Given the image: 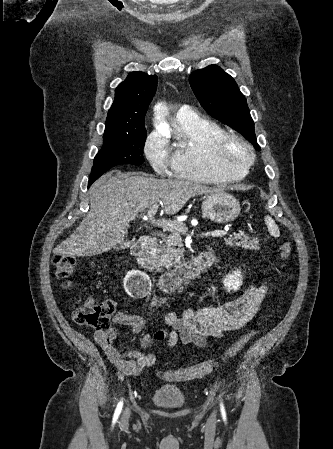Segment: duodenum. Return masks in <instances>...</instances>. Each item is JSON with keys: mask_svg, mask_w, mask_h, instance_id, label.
Here are the masks:
<instances>
[{"mask_svg": "<svg viewBox=\"0 0 333 449\" xmlns=\"http://www.w3.org/2000/svg\"><path fill=\"white\" fill-rule=\"evenodd\" d=\"M156 247V238L146 236L133 245L131 253L142 268L152 274H158L157 284L162 292H173L206 271L213 263L212 254L204 252L181 267L159 274L154 263Z\"/></svg>", "mask_w": 333, "mask_h": 449, "instance_id": "obj_1", "label": "duodenum"}]
</instances>
